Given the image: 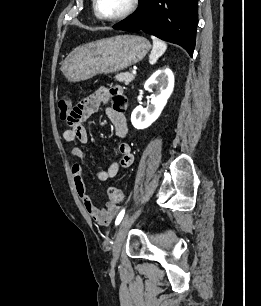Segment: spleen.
<instances>
[{
    "label": "spleen",
    "mask_w": 261,
    "mask_h": 306,
    "mask_svg": "<svg viewBox=\"0 0 261 306\" xmlns=\"http://www.w3.org/2000/svg\"><path fill=\"white\" fill-rule=\"evenodd\" d=\"M151 39L153 41V48L149 56V62L150 64L153 65L157 62L159 57H161L164 54V52L167 49V44L164 41L154 36H151Z\"/></svg>",
    "instance_id": "1"
}]
</instances>
